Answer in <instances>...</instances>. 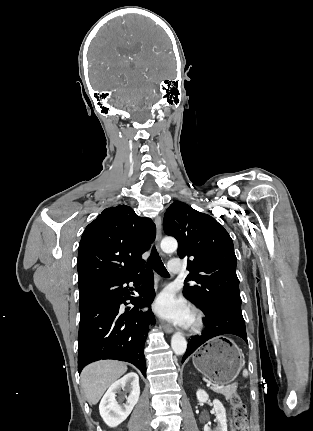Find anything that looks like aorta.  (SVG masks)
Masks as SVG:
<instances>
[{
	"label": "aorta",
	"instance_id": "762f6f07",
	"mask_svg": "<svg viewBox=\"0 0 313 431\" xmlns=\"http://www.w3.org/2000/svg\"><path fill=\"white\" fill-rule=\"evenodd\" d=\"M178 244L176 239L167 237L161 241V249L165 253H172L177 250ZM171 347L176 355H183L187 349V341L185 337L177 332L172 336Z\"/></svg>",
	"mask_w": 313,
	"mask_h": 431
}]
</instances>
